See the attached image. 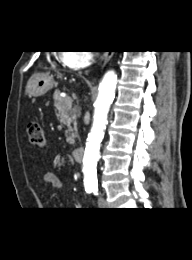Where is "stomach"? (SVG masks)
<instances>
[{"label": "stomach", "instance_id": "obj_1", "mask_svg": "<svg viewBox=\"0 0 192 260\" xmlns=\"http://www.w3.org/2000/svg\"><path fill=\"white\" fill-rule=\"evenodd\" d=\"M54 84L53 77L47 74L34 75L28 82L27 92L34 97L42 96L52 89Z\"/></svg>", "mask_w": 192, "mask_h": 260}]
</instances>
